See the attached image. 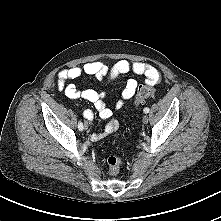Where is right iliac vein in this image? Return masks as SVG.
Listing matches in <instances>:
<instances>
[{"label": "right iliac vein", "instance_id": "63e3f726", "mask_svg": "<svg viewBox=\"0 0 221 221\" xmlns=\"http://www.w3.org/2000/svg\"><path fill=\"white\" fill-rule=\"evenodd\" d=\"M84 128H85V129H87V128H88V125H87V123H85V124H84Z\"/></svg>", "mask_w": 221, "mask_h": 221}]
</instances>
